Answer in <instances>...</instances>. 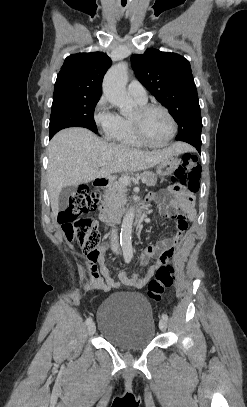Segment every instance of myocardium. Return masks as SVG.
Segmentation results:
<instances>
[{
    "label": "myocardium",
    "instance_id": "f54148a6",
    "mask_svg": "<svg viewBox=\"0 0 247 407\" xmlns=\"http://www.w3.org/2000/svg\"><path fill=\"white\" fill-rule=\"evenodd\" d=\"M154 109H158L161 110L162 112H164L167 117L169 118L171 125H172V132L170 134V136L168 137V139L160 144H154L149 142L142 131V117L148 113L151 110ZM130 123H131V127H132V131L133 134L135 136V138L139 141V143L143 146L146 147H150V148H163L168 146L172 140L174 139V137L176 136L177 130H178V124L177 121L175 119V117L173 116V114L169 111V109H167L165 106L160 105V104H144L141 106H138L135 110V115L130 117Z\"/></svg>",
    "mask_w": 247,
    "mask_h": 407
}]
</instances>
